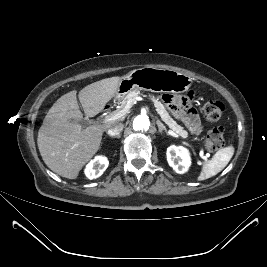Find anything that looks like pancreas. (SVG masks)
Masks as SVG:
<instances>
[{"instance_id": "pancreas-1", "label": "pancreas", "mask_w": 267, "mask_h": 267, "mask_svg": "<svg viewBox=\"0 0 267 267\" xmlns=\"http://www.w3.org/2000/svg\"><path fill=\"white\" fill-rule=\"evenodd\" d=\"M139 95H140V91L138 90H133L130 93H128L120 102L121 104L120 110H122L126 106L128 101L133 100ZM150 99L154 103L157 113L161 116L162 120L168 125V127L172 129L178 136L184 139L187 138L188 132L183 127L178 125L176 121H174V119L167 112L165 106L154 96H150Z\"/></svg>"}]
</instances>
